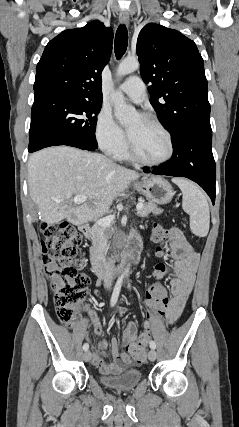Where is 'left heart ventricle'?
Returning a JSON list of instances; mask_svg holds the SVG:
<instances>
[{"instance_id":"1","label":"left heart ventricle","mask_w":239,"mask_h":427,"mask_svg":"<svg viewBox=\"0 0 239 427\" xmlns=\"http://www.w3.org/2000/svg\"><path fill=\"white\" fill-rule=\"evenodd\" d=\"M126 129L135 150L144 159L158 161L168 154L169 144L164 133L140 116L134 117Z\"/></svg>"}]
</instances>
